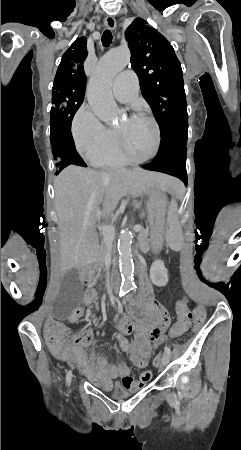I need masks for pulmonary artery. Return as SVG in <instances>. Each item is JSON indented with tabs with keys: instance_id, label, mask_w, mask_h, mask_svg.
Masks as SVG:
<instances>
[{
	"instance_id": "e3ab8cb5",
	"label": "pulmonary artery",
	"mask_w": 241,
	"mask_h": 450,
	"mask_svg": "<svg viewBox=\"0 0 241 450\" xmlns=\"http://www.w3.org/2000/svg\"><path fill=\"white\" fill-rule=\"evenodd\" d=\"M138 76L135 74L134 69H126L122 71L121 75L116 76L113 82L112 92L115 99L123 104L129 103L134 93L138 90Z\"/></svg>"
}]
</instances>
